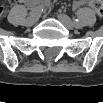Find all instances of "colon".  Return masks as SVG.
Listing matches in <instances>:
<instances>
[{"label": "colon", "mask_w": 103, "mask_h": 103, "mask_svg": "<svg viewBox=\"0 0 103 103\" xmlns=\"http://www.w3.org/2000/svg\"><path fill=\"white\" fill-rule=\"evenodd\" d=\"M89 6L95 10L98 16L103 17V2L101 0H91L88 2ZM5 7H0V14H3Z\"/></svg>", "instance_id": "5ec220e1"}]
</instances>
